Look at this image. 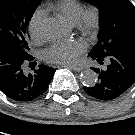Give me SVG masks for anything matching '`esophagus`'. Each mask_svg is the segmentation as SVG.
Segmentation results:
<instances>
[{"label":"esophagus","mask_w":135,"mask_h":135,"mask_svg":"<svg viewBox=\"0 0 135 135\" xmlns=\"http://www.w3.org/2000/svg\"><path fill=\"white\" fill-rule=\"evenodd\" d=\"M64 67H68V68H70V69H72L73 71H76V72H80L84 69L83 67H74V66H66V65H64Z\"/></svg>","instance_id":"1"}]
</instances>
